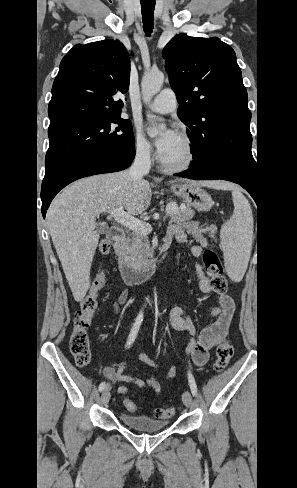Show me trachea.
Masks as SVG:
<instances>
[{
    "label": "trachea",
    "mask_w": 297,
    "mask_h": 488,
    "mask_svg": "<svg viewBox=\"0 0 297 488\" xmlns=\"http://www.w3.org/2000/svg\"><path fill=\"white\" fill-rule=\"evenodd\" d=\"M154 9H155V2H148L145 0L141 1L143 28L147 36H149L153 30Z\"/></svg>",
    "instance_id": "obj_1"
}]
</instances>
